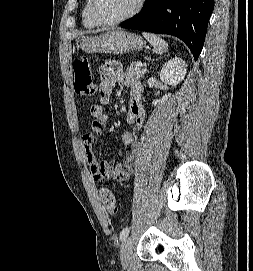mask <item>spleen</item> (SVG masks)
Segmentation results:
<instances>
[{"label": "spleen", "mask_w": 253, "mask_h": 271, "mask_svg": "<svg viewBox=\"0 0 253 271\" xmlns=\"http://www.w3.org/2000/svg\"><path fill=\"white\" fill-rule=\"evenodd\" d=\"M142 34L145 37V39H147V41L154 47L156 52L164 53L167 51L168 44L161 37L152 33H147V32H143Z\"/></svg>", "instance_id": "obj_1"}]
</instances>
